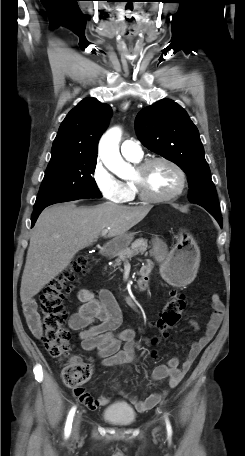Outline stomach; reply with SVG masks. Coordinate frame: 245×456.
Listing matches in <instances>:
<instances>
[{
  "label": "stomach",
  "instance_id": "0dacf381",
  "mask_svg": "<svg viewBox=\"0 0 245 456\" xmlns=\"http://www.w3.org/2000/svg\"><path fill=\"white\" fill-rule=\"evenodd\" d=\"M133 236V233H125L116 237L114 240L116 249L128 247ZM152 244L154 257L160 263V271L165 280L171 285L182 286L193 279L200 261V250L189 232L181 230L177 243L170 251L158 237L153 239Z\"/></svg>",
  "mask_w": 245,
  "mask_h": 456
}]
</instances>
